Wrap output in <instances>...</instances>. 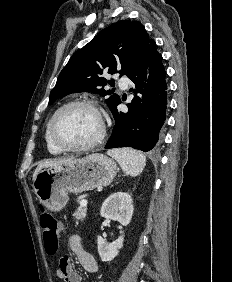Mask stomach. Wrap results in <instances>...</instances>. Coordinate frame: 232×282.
I'll list each match as a JSON object with an SVG mask.
<instances>
[{"label":"stomach","mask_w":232,"mask_h":282,"mask_svg":"<svg viewBox=\"0 0 232 282\" xmlns=\"http://www.w3.org/2000/svg\"><path fill=\"white\" fill-rule=\"evenodd\" d=\"M117 171L115 162L109 157L90 154L41 170L33 179V188L42 205L51 211H59L67 204L69 193L81 194L107 186Z\"/></svg>","instance_id":"obj_1"}]
</instances>
